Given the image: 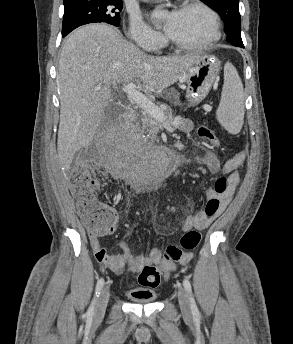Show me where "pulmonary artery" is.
I'll use <instances>...</instances> for the list:
<instances>
[{
    "label": "pulmonary artery",
    "instance_id": "e3ab8cb5",
    "mask_svg": "<svg viewBox=\"0 0 293 344\" xmlns=\"http://www.w3.org/2000/svg\"><path fill=\"white\" fill-rule=\"evenodd\" d=\"M143 1H161V0H143Z\"/></svg>",
    "mask_w": 293,
    "mask_h": 344
}]
</instances>
